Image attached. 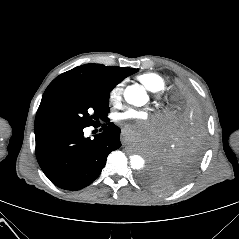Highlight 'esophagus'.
I'll return each mask as SVG.
<instances>
[{
    "instance_id": "obj_1",
    "label": "esophagus",
    "mask_w": 239,
    "mask_h": 239,
    "mask_svg": "<svg viewBox=\"0 0 239 239\" xmlns=\"http://www.w3.org/2000/svg\"><path fill=\"white\" fill-rule=\"evenodd\" d=\"M120 142L122 143V144H125L126 143V135L125 134H120Z\"/></svg>"
}]
</instances>
